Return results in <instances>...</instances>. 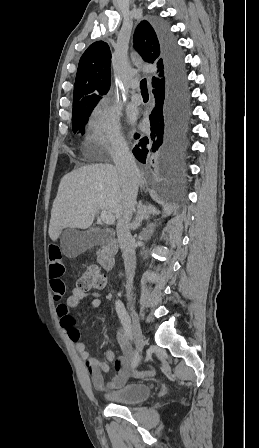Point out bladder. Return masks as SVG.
Segmentation results:
<instances>
[{
    "label": "bladder",
    "mask_w": 259,
    "mask_h": 448,
    "mask_svg": "<svg viewBox=\"0 0 259 448\" xmlns=\"http://www.w3.org/2000/svg\"><path fill=\"white\" fill-rule=\"evenodd\" d=\"M151 387L143 383L127 384L103 393L106 400L116 404H137L148 399Z\"/></svg>",
    "instance_id": "bladder-1"
}]
</instances>
